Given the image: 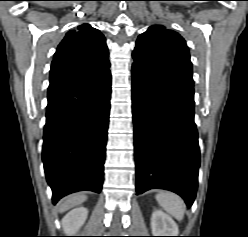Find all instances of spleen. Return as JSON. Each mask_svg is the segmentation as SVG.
Masks as SVG:
<instances>
[{
    "label": "spleen",
    "mask_w": 248,
    "mask_h": 237,
    "mask_svg": "<svg viewBox=\"0 0 248 237\" xmlns=\"http://www.w3.org/2000/svg\"><path fill=\"white\" fill-rule=\"evenodd\" d=\"M159 205L177 220L184 216L185 204L183 200L171 192H160L156 195Z\"/></svg>",
    "instance_id": "obj_1"
}]
</instances>
